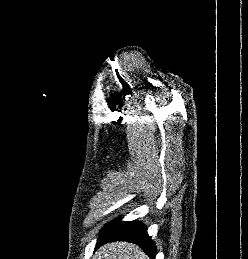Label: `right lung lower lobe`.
Wrapping results in <instances>:
<instances>
[{
	"label": "right lung lower lobe",
	"instance_id": "98d812e1",
	"mask_svg": "<svg viewBox=\"0 0 248 259\" xmlns=\"http://www.w3.org/2000/svg\"><path fill=\"white\" fill-rule=\"evenodd\" d=\"M147 228L140 222H121L119 220L109 223L99 237L96 249L107 243L113 241H127L139 245L151 259H155L156 248L147 234Z\"/></svg>",
	"mask_w": 248,
	"mask_h": 259
}]
</instances>
